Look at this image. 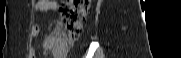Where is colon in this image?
Wrapping results in <instances>:
<instances>
[{"label":"colon","instance_id":"5ec220e1","mask_svg":"<svg viewBox=\"0 0 181 58\" xmlns=\"http://www.w3.org/2000/svg\"><path fill=\"white\" fill-rule=\"evenodd\" d=\"M90 0H66L60 4V23L57 31L48 39V48L65 57L70 47L79 39Z\"/></svg>","mask_w":181,"mask_h":58}]
</instances>
